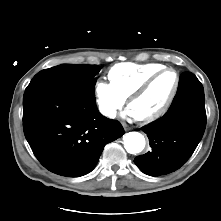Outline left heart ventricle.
I'll list each match as a JSON object with an SVG mask.
<instances>
[{
	"instance_id": "left-heart-ventricle-1",
	"label": "left heart ventricle",
	"mask_w": 221,
	"mask_h": 221,
	"mask_svg": "<svg viewBox=\"0 0 221 221\" xmlns=\"http://www.w3.org/2000/svg\"><path fill=\"white\" fill-rule=\"evenodd\" d=\"M176 83L175 74L171 71L162 74L148 89L130 105L135 117H145L158 112L171 95Z\"/></svg>"
}]
</instances>
